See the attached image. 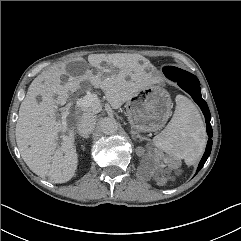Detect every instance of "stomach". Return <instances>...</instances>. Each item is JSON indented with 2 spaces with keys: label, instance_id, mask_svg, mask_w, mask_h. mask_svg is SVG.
<instances>
[{
  "label": "stomach",
  "instance_id": "obj_1",
  "mask_svg": "<svg viewBox=\"0 0 241 241\" xmlns=\"http://www.w3.org/2000/svg\"><path fill=\"white\" fill-rule=\"evenodd\" d=\"M125 107L133 129L138 132H155L168 121L172 102L165 89L150 85L129 99Z\"/></svg>",
  "mask_w": 241,
  "mask_h": 241
}]
</instances>
